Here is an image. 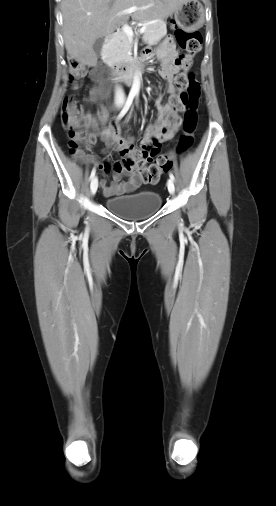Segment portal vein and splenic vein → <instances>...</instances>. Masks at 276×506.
Listing matches in <instances>:
<instances>
[{"label": "portal vein and splenic vein", "instance_id": "portal-vein-and-splenic-vein-1", "mask_svg": "<svg viewBox=\"0 0 276 506\" xmlns=\"http://www.w3.org/2000/svg\"><path fill=\"white\" fill-rule=\"evenodd\" d=\"M140 8L136 7V6H133V7H130L128 9H125L123 10L122 12H120L119 14H130V13H133L137 10H139ZM123 31L128 35V36H133L134 33H133V30L132 28L127 25V24H124L123 27H122ZM146 30V26L144 25L141 29L138 30V33L140 34H143Z\"/></svg>", "mask_w": 276, "mask_h": 506}]
</instances>
